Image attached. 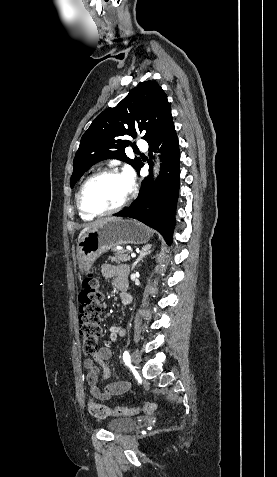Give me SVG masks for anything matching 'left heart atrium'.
<instances>
[{
    "label": "left heart atrium",
    "instance_id": "left-heart-atrium-1",
    "mask_svg": "<svg viewBox=\"0 0 277 477\" xmlns=\"http://www.w3.org/2000/svg\"><path fill=\"white\" fill-rule=\"evenodd\" d=\"M123 177L127 183L128 189L131 190L135 184V177L133 171L131 169H127L124 172Z\"/></svg>",
    "mask_w": 277,
    "mask_h": 477
}]
</instances>
